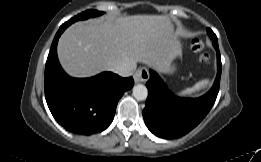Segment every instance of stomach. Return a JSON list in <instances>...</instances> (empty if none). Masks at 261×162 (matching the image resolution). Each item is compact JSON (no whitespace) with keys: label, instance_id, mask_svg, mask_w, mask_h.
I'll return each instance as SVG.
<instances>
[{"label":"stomach","instance_id":"stomach-1","mask_svg":"<svg viewBox=\"0 0 261 162\" xmlns=\"http://www.w3.org/2000/svg\"><path fill=\"white\" fill-rule=\"evenodd\" d=\"M181 56V46L180 44L176 47L175 56L172 60H170L162 69L161 72L165 74H173L176 71V65L174 63V60Z\"/></svg>","mask_w":261,"mask_h":162}]
</instances>
